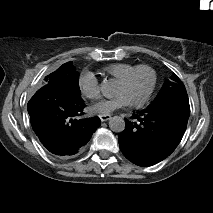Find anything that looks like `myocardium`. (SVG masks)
Here are the masks:
<instances>
[{
  "label": "myocardium",
  "instance_id": "myocardium-1",
  "mask_svg": "<svg viewBox=\"0 0 213 213\" xmlns=\"http://www.w3.org/2000/svg\"><path fill=\"white\" fill-rule=\"evenodd\" d=\"M140 73H144V74L148 75L149 84H148L146 90L143 93H141L140 95L135 96V97H128L129 101L132 104H140V103L144 102L151 95L152 91L154 90L155 84H156L155 72L147 66H141V67L134 69L128 76L122 78L121 80L117 79L120 85L127 86Z\"/></svg>",
  "mask_w": 213,
  "mask_h": 213
}]
</instances>
